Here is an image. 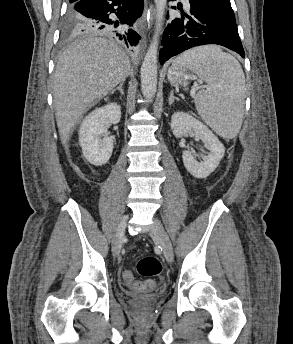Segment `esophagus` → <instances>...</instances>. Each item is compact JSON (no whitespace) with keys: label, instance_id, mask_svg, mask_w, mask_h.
Instances as JSON below:
<instances>
[{"label":"esophagus","instance_id":"1","mask_svg":"<svg viewBox=\"0 0 293 344\" xmlns=\"http://www.w3.org/2000/svg\"><path fill=\"white\" fill-rule=\"evenodd\" d=\"M143 16H144L145 21L150 19L153 22V7H152V9L146 8Z\"/></svg>","mask_w":293,"mask_h":344}]
</instances>
